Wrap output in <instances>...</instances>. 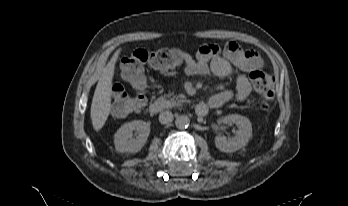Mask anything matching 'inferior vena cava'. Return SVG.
<instances>
[{
	"mask_svg": "<svg viewBox=\"0 0 348 206\" xmlns=\"http://www.w3.org/2000/svg\"><path fill=\"white\" fill-rule=\"evenodd\" d=\"M173 119H174L173 114L170 111H162L159 114V122L161 124H169L173 121Z\"/></svg>",
	"mask_w": 348,
	"mask_h": 206,
	"instance_id": "obj_1",
	"label": "inferior vena cava"
}]
</instances>
